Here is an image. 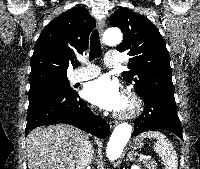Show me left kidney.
Segmentation results:
<instances>
[{"label":"left kidney","mask_w":200,"mask_h":169,"mask_svg":"<svg viewBox=\"0 0 200 169\" xmlns=\"http://www.w3.org/2000/svg\"><path fill=\"white\" fill-rule=\"evenodd\" d=\"M131 169H141V168H140V166H138V165H132V166H131Z\"/></svg>","instance_id":"5707ae66"}]
</instances>
